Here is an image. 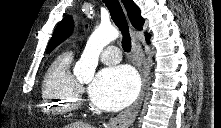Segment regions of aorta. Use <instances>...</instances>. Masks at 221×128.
I'll list each match as a JSON object with an SVG mask.
<instances>
[{"label": "aorta", "instance_id": "aorta-1", "mask_svg": "<svg viewBox=\"0 0 221 128\" xmlns=\"http://www.w3.org/2000/svg\"><path fill=\"white\" fill-rule=\"evenodd\" d=\"M119 37V31L112 25H100L89 37L85 49L74 67V74L90 82L98 65L101 51Z\"/></svg>", "mask_w": 221, "mask_h": 128}]
</instances>
